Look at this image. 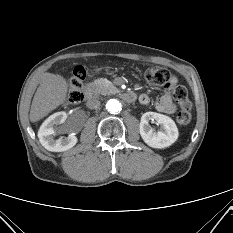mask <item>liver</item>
I'll use <instances>...</instances> for the list:
<instances>
[{
    "label": "liver",
    "instance_id": "liver-1",
    "mask_svg": "<svg viewBox=\"0 0 233 233\" xmlns=\"http://www.w3.org/2000/svg\"><path fill=\"white\" fill-rule=\"evenodd\" d=\"M67 91L68 84L61 75L42 74L31 104L30 121L37 122L59 107L66 100Z\"/></svg>",
    "mask_w": 233,
    "mask_h": 233
}]
</instances>
